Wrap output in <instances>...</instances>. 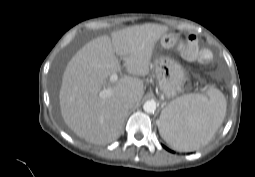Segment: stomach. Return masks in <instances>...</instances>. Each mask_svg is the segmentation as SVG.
I'll return each instance as SVG.
<instances>
[{
    "label": "stomach",
    "instance_id": "1",
    "mask_svg": "<svg viewBox=\"0 0 255 177\" xmlns=\"http://www.w3.org/2000/svg\"><path fill=\"white\" fill-rule=\"evenodd\" d=\"M167 38H174V35L165 34L162 42ZM153 66L160 90L169 99L177 97L183 91L186 81L181 64L169 57L158 56L154 59Z\"/></svg>",
    "mask_w": 255,
    "mask_h": 177
}]
</instances>
